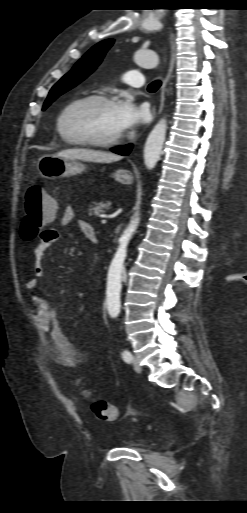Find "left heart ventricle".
I'll return each mask as SVG.
<instances>
[{
    "instance_id": "1",
    "label": "left heart ventricle",
    "mask_w": 247,
    "mask_h": 513,
    "mask_svg": "<svg viewBox=\"0 0 247 513\" xmlns=\"http://www.w3.org/2000/svg\"><path fill=\"white\" fill-rule=\"evenodd\" d=\"M62 127L74 138L103 140L121 132L116 115V104L98 101L74 105L66 114Z\"/></svg>"
}]
</instances>
